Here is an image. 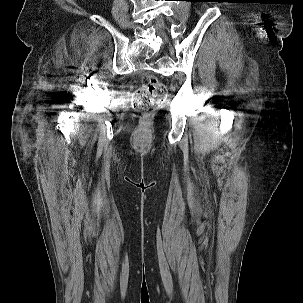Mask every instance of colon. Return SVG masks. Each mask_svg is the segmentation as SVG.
Returning a JSON list of instances; mask_svg holds the SVG:
<instances>
[{
	"mask_svg": "<svg viewBox=\"0 0 303 303\" xmlns=\"http://www.w3.org/2000/svg\"><path fill=\"white\" fill-rule=\"evenodd\" d=\"M167 98V88L155 76L146 75L135 93V102L140 110L153 111Z\"/></svg>",
	"mask_w": 303,
	"mask_h": 303,
	"instance_id": "obj_1",
	"label": "colon"
}]
</instances>
